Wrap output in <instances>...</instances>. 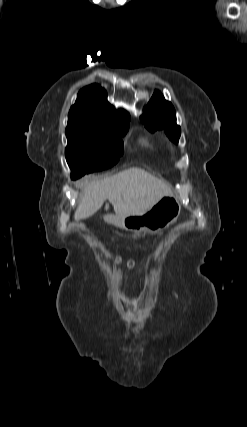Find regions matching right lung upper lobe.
<instances>
[{
	"label": "right lung upper lobe",
	"instance_id": "1",
	"mask_svg": "<svg viewBox=\"0 0 247 427\" xmlns=\"http://www.w3.org/2000/svg\"><path fill=\"white\" fill-rule=\"evenodd\" d=\"M130 116L124 110L114 111L107 102L106 91L97 84L80 90L71 107L68 121H77L103 128L129 126Z\"/></svg>",
	"mask_w": 247,
	"mask_h": 427
}]
</instances>
